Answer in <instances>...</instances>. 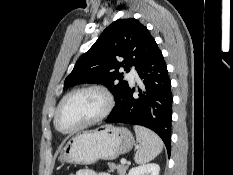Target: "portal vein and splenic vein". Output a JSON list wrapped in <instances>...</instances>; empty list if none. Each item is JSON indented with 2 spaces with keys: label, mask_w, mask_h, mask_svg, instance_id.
Returning a JSON list of instances; mask_svg holds the SVG:
<instances>
[{
  "label": "portal vein and splenic vein",
  "mask_w": 233,
  "mask_h": 175,
  "mask_svg": "<svg viewBox=\"0 0 233 175\" xmlns=\"http://www.w3.org/2000/svg\"><path fill=\"white\" fill-rule=\"evenodd\" d=\"M126 162H127L126 159H121V164L124 165V164H126Z\"/></svg>",
  "instance_id": "1"
}]
</instances>
